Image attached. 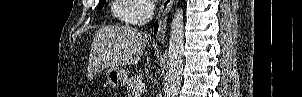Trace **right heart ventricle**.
<instances>
[{"label":"right heart ventricle","mask_w":302,"mask_h":97,"mask_svg":"<svg viewBox=\"0 0 302 97\" xmlns=\"http://www.w3.org/2000/svg\"><path fill=\"white\" fill-rule=\"evenodd\" d=\"M136 8L135 1L132 0H114L112 4V14L115 19L124 24H133L132 17Z\"/></svg>","instance_id":"1"}]
</instances>
